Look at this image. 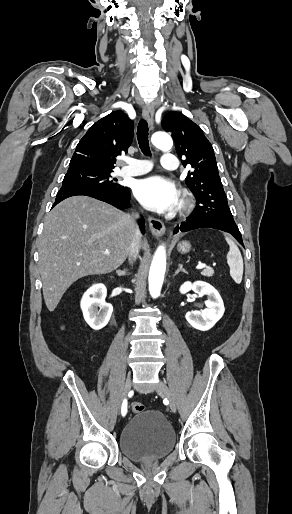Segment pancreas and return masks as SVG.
<instances>
[{
	"label": "pancreas",
	"mask_w": 292,
	"mask_h": 514,
	"mask_svg": "<svg viewBox=\"0 0 292 514\" xmlns=\"http://www.w3.org/2000/svg\"><path fill=\"white\" fill-rule=\"evenodd\" d=\"M202 276H207V278H211V276H213L214 272L213 270H203V272H201Z\"/></svg>",
	"instance_id": "1"
}]
</instances>
